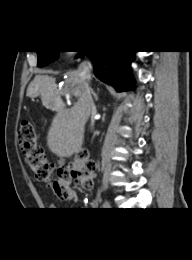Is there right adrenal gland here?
Returning a JSON list of instances; mask_svg holds the SVG:
<instances>
[{"label": "right adrenal gland", "instance_id": "obj_1", "mask_svg": "<svg viewBox=\"0 0 192 260\" xmlns=\"http://www.w3.org/2000/svg\"><path fill=\"white\" fill-rule=\"evenodd\" d=\"M91 92H92V94H93L95 100L97 101V100H98V96H97V94L93 91V89H91Z\"/></svg>", "mask_w": 192, "mask_h": 260}]
</instances>
